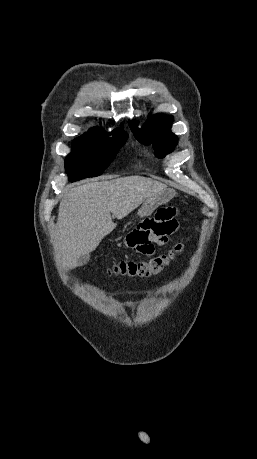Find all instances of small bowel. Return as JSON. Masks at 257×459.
Returning <instances> with one entry per match:
<instances>
[{"label":"small bowel","mask_w":257,"mask_h":459,"mask_svg":"<svg viewBox=\"0 0 257 459\" xmlns=\"http://www.w3.org/2000/svg\"><path fill=\"white\" fill-rule=\"evenodd\" d=\"M182 220V215L177 208L172 205H161L160 211H154L153 217H145L144 223H135L134 230L129 231L121 240L122 248L144 258H153L154 243L168 245L166 236H173L178 230V222Z\"/></svg>","instance_id":"1"}]
</instances>
